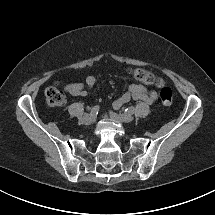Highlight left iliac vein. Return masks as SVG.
<instances>
[{
    "label": "left iliac vein",
    "instance_id": "4c4485c4",
    "mask_svg": "<svg viewBox=\"0 0 215 215\" xmlns=\"http://www.w3.org/2000/svg\"><path fill=\"white\" fill-rule=\"evenodd\" d=\"M110 117L116 121V122H132L134 120V117L131 114H118L115 112H110Z\"/></svg>",
    "mask_w": 215,
    "mask_h": 215
}]
</instances>
